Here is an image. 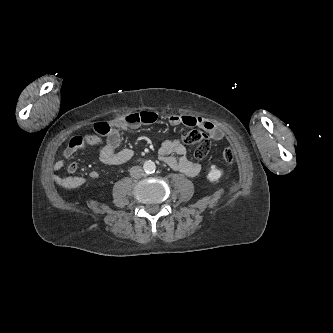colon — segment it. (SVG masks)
<instances>
[{
    "label": "colon",
    "mask_w": 333,
    "mask_h": 333,
    "mask_svg": "<svg viewBox=\"0 0 333 333\" xmlns=\"http://www.w3.org/2000/svg\"><path fill=\"white\" fill-rule=\"evenodd\" d=\"M94 130L99 136H108L112 132L111 122L102 121L94 124ZM182 142L187 145H197L194 156L198 160L204 159L210 150V142L208 135L201 130L187 131L182 135ZM222 160L227 164L234 163V151L227 147L222 151Z\"/></svg>",
    "instance_id": "1"
}]
</instances>
